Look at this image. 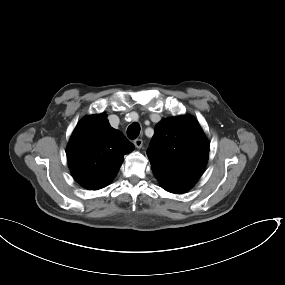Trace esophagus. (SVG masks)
<instances>
[{"label":"esophagus","mask_w":285,"mask_h":285,"mask_svg":"<svg viewBox=\"0 0 285 285\" xmlns=\"http://www.w3.org/2000/svg\"><path fill=\"white\" fill-rule=\"evenodd\" d=\"M134 145H135L136 148L140 149L142 147V145H143L142 139H135L134 140Z\"/></svg>","instance_id":"obj_1"}]
</instances>
